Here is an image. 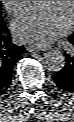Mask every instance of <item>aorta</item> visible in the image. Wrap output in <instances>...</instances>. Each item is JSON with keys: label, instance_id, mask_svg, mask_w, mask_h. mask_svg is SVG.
Wrapping results in <instances>:
<instances>
[{"label": "aorta", "instance_id": "1", "mask_svg": "<svg viewBox=\"0 0 74 122\" xmlns=\"http://www.w3.org/2000/svg\"><path fill=\"white\" fill-rule=\"evenodd\" d=\"M36 5H41L43 1L34 2ZM66 64L65 56L61 51L50 50L46 52L43 56V65L44 67L52 72H58L64 68Z\"/></svg>", "mask_w": 74, "mask_h": 122}]
</instances>
